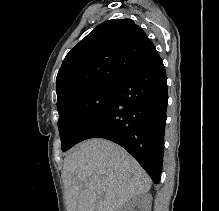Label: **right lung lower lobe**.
Masks as SVG:
<instances>
[{"label": "right lung lower lobe", "mask_w": 219, "mask_h": 211, "mask_svg": "<svg viewBox=\"0 0 219 211\" xmlns=\"http://www.w3.org/2000/svg\"><path fill=\"white\" fill-rule=\"evenodd\" d=\"M115 89L112 100L82 132L77 143L90 138H105L119 144L158 184L168 104L162 59L158 57L133 71Z\"/></svg>", "instance_id": "1"}]
</instances>
